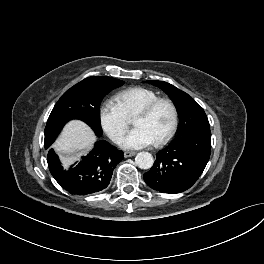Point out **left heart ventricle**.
I'll use <instances>...</instances> for the list:
<instances>
[{
    "instance_id": "left-heart-ventricle-1",
    "label": "left heart ventricle",
    "mask_w": 264,
    "mask_h": 264,
    "mask_svg": "<svg viewBox=\"0 0 264 264\" xmlns=\"http://www.w3.org/2000/svg\"><path fill=\"white\" fill-rule=\"evenodd\" d=\"M171 110L166 104H160L148 117H136L133 123L136 127L145 129L154 141L164 136L170 128Z\"/></svg>"
}]
</instances>
